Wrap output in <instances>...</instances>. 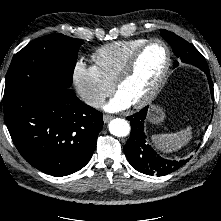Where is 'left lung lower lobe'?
Instances as JSON below:
<instances>
[{
	"label": "left lung lower lobe",
	"mask_w": 221,
	"mask_h": 221,
	"mask_svg": "<svg viewBox=\"0 0 221 221\" xmlns=\"http://www.w3.org/2000/svg\"><path fill=\"white\" fill-rule=\"evenodd\" d=\"M209 81L212 99H214L213 83L210 72H205ZM148 106L141 111L128 116L127 119L131 122V133L124 152L128 162L137 171L147 175L164 176L169 174L181 166L186 164L189 160L172 161L159 156L147 142V137L144 133V122Z\"/></svg>",
	"instance_id": "0a47b994"
}]
</instances>
